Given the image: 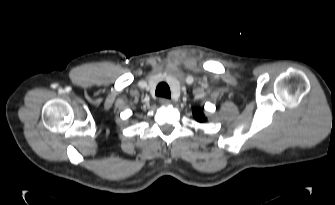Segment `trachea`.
<instances>
[{
  "instance_id": "1",
  "label": "trachea",
  "mask_w": 335,
  "mask_h": 205,
  "mask_svg": "<svg viewBox=\"0 0 335 205\" xmlns=\"http://www.w3.org/2000/svg\"><path fill=\"white\" fill-rule=\"evenodd\" d=\"M155 94L157 96H160V97L170 98L171 93H170V88H169L168 84L165 83V82L159 83L157 88H156Z\"/></svg>"
}]
</instances>
